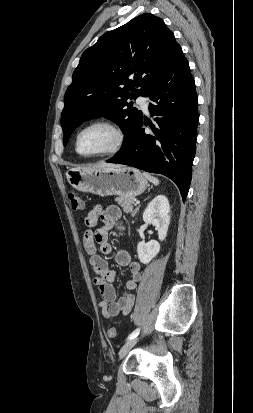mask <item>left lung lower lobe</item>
<instances>
[{
    "mask_svg": "<svg viewBox=\"0 0 253 413\" xmlns=\"http://www.w3.org/2000/svg\"><path fill=\"white\" fill-rule=\"evenodd\" d=\"M148 96L153 134H146L141 120L132 142L110 163L129 165L146 172L169 177L178 186L185 200L192 177L197 124L199 121L195 81L181 47L163 77Z\"/></svg>",
    "mask_w": 253,
    "mask_h": 413,
    "instance_id": "left-lung-lower-lobe-1",
    "label": "left lung lower lobe"
}]
</instances>
